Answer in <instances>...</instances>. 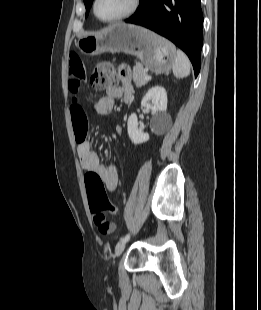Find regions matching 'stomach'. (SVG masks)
<instances>
[{"instance_id":"1","label":"stomach","mask_w":261,"mask_h":310,"mask_svg":"<svg viewBox=\"0 0 261 310\" xmlns=\"http://www.w3.org/2000/svg\"><path fill=\"white\" fill-rule=\"evenodd\" d=\"M78 49L90 56L104 52L136 56L155 73L168 72L176 58L175 47L166 39L140 26L115 23L102 31L80 38Z\"/></svg>"}]
</instances>
